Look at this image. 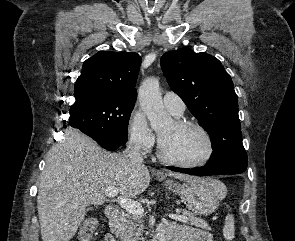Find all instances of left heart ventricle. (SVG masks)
I'll use <instances>...</instances> for the list:
<instances>
[{
  "label": "left heart ventricle",
  "instance_id": "obj_1",
  "mask_svg": "<svg viewBox=\"0 0 295 241\" xmlns=\"http://www.w3.org/2000/svg\"><path fill=\"white\" fill-rule=\"evenodd\" d=\"M164 152L167 156L182 162L202 159L207 152V143L195 128H181L174 122L159 131Z\"/></svg>",
  "mask_w": 295,
  "mask_h": 241
}]
</instances>
